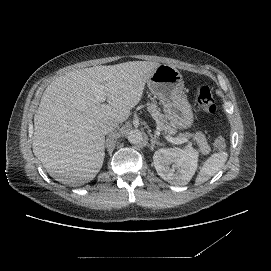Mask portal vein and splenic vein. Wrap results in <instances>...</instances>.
<instances>
[{
    "instance_id": "obj_1",
    "label": "portal vein and splenic vein",
    "mask_w": 271,
    "mask_h": 271,
    "mask_svg": "<svg viewBox=\"0 0 271 271\" xmlns=\"http://www.w3.org/2000/svg\"><path fill=\"white\" fill-rule=\"evenodd\" d=\"M96 93H95V97L96 99L99 101V102H105L106 100V96H105V93L103 91L102 88H97L96 90ZM167 141L171 142V143H174V144H183V143H186L188 142V139L185 138V137H182V138H174V137H170V136H167L166 137Z\"/></svg>"
}]
</instances>
